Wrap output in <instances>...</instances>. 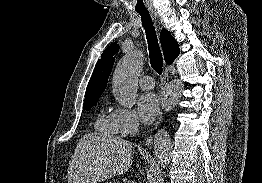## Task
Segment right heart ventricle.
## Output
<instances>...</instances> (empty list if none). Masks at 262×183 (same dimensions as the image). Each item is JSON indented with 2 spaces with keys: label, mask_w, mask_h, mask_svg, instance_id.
Wrapping results in <instances>:
<instances>
[{
  "label": "right heart ventricle",
  "mask_w": 262,
  "mask_h": 183,
  "mask_svg": "<svg viewBox=\"0 0 262 183\" xmlns=\"http://www.w3.org/2000/svg\"><path fill=\"white\" fill-rule=\"evenodd\" d=\"M95 128L101 132L111 134V135H118L120 134L119 130L117 129L111 113H106L101 111L97 117Z\"/></svg>",
  "instance_id": "1"
}]
</instances>
